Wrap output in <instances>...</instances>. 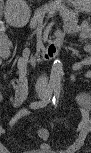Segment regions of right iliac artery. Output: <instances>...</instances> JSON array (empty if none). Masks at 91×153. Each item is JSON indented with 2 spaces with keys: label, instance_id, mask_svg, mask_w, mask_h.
I'll return each instance as SVG.
<instances>
[{
  "label": "right iliac artery",
  "instance_id": "right-iliac-artery-1",
  "mask_svg": "<svg viewBox=\"0 0 91 153\" xmlns=\"http://www.w3.org/2000/svg\"><path fill=\"white\" fill-rule=\"evenodd\" d=\"M52 93H53V86L49 85L47 90H46V95L44 97V99H42L41 101H35L32 102L30 105L31 109H40L45 107L51 100L52 98Z\"/></svg>",
  "mask_w": 91,
  "mask_h": 153
}]
</instances>
